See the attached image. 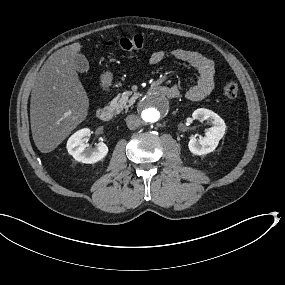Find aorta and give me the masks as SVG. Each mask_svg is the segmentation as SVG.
Returning a JSON list of instances; mask_svg holds the SVG:
<instances>
[{"mask_svg": "<svg viewBox=\"0 0 285 285\" xmlns=\"http://www.w3.org/2000/svg\"><path fill=\"white\" fill-rule=\"evenodd\" d=\"M140 111L145 121L159 123L169 116L171 104L164 94L152 92L142 99Z\"/></svg>", "mask_w": 285, "mask_h": 285, "instance_id": "762f6f07", "label": "aorta"}]
</instances>
